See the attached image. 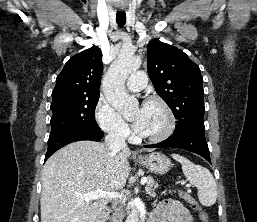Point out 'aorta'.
Instances as JSON below:
<instances>
[{
    "mask_svg": "<svg viewBox=\"0 0 257 222\" xmlns=\"http://www.w3.org/2000/svg\"><path fill=\"white\" fill-rule=\"evenodd\" d=\"M141 65V59L132 53L121 51L104 75L102 87L105 98L120 114L126 115L138 107V101L125 88L129 75ZM126 222H139V207L134 204Z\"/></svg>",
    "mask_w": 257,
    "mask_h": 222,
    "instance_id": "1",
    "label": "aorta"
}]
</instances>
